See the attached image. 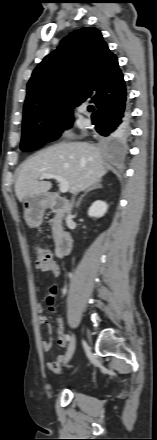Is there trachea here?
<instances>
[{
    "label": "trachea",
    "instance_id": "1",
    "mask_svg": "<svg viewBox=\"0 0 157 440\" xmlns=\"http://www.w3.org/2000/svg\"><path fill=\"white\" fill-rule=\"evenodd\" d=\"M88 110H89L90 112H92V111L94 110V107L90 105V106L88 107Z\"/></svg>",
    "mask_w": 157,
    "mask_h": 440
}]
</instances>
